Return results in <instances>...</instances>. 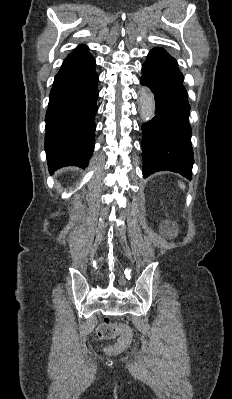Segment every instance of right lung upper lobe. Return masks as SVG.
<instances>
[{"label": "right lung upper lobe", "instance_id": "right-lung-upper-lobe-1", "mask_svg": "<svg viewBox=\"0 0 232 399\" xmlns=\"http://www.w3.org/2000/svg\"><path fill=\"white\" fill-rule=\"evenodd\" d=\"M88 47L86 45H79L74 51H86Z\"/></svg>", "mask_w": 232, "mask_h": 399}]
</instances>
